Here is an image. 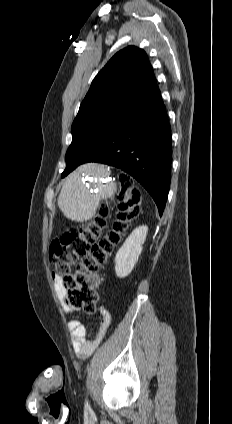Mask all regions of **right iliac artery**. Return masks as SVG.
<instances>
[{
	"label": "right iliac artery",
	"mask_w": 232,
	"mask_h": 424,
	"mask_svg": "<svg viewBox=\"0 0 232 424\" xmlns=\"http://www.w3.org/2000/svg\"><path fill=\"white\" fill-rule=\"evenodd\" d=\"M85 410L86 411H90V406H89V404H88V402L86 401V403H85Z\"/></svg>",
	"instance_id": "right-iliac-artery-1"
}]
</instances>
